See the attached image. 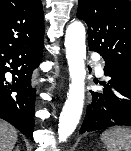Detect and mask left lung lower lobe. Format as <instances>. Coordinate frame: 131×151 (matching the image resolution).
<instances>
[{
    "label": "left lung lower lobe",
    "mask_w": 131,
    "mask_h": 151,
    "mask_svg": "<svg viewBox=\"0 0 131 151\" xmlns=\"http://www.w3.org/2000/svg\"><path fill=\"white\" fill-rule=\"evenodd\" d=\"M107 81L103 93L90 91L92 103L87 107L80 133L112 126H131V74L105 64Z\"/></svg>",
    "instance_id": "1"
}]
</instances>
